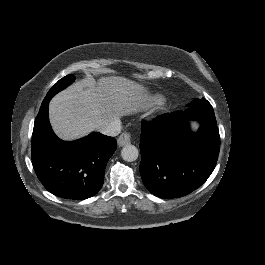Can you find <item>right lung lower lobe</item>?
<instances>
[{"mask_svg": "<svg viewBox=\"0 0 265 265\" xmlns=\"http://www.w3.org/2000/svg\"><path fill=\"white\" fill-rule=\"evenodd\" d=\"M48 105L49 101L42 102L32 134L31 158L36 175L58 197H92L103 185L116 140L98 132L73 142L58 139L49 123Z\"/></svg>", "mask_w": 265, "mask_h": 265, "instance_id": "98d812e1", "label": "right lung lower lobe"}]
</instances>
